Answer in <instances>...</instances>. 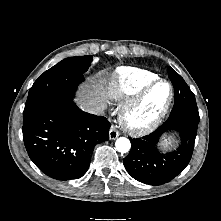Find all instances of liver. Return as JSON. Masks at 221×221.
Segmentation results:
<instances>
[{
  "instance_id": "obj_1",
  "label": "liver",
  "mask_w": 221,
  "mask_h": 221,
  "mask_svg": "<svg viewBox=\"0 0 221 221\" xmlns=\"http://www.w3.org/2000/svg\"><path fill=\"white\" fill-rule=\"evenodd\" d=\"M104 82L98 76L91 79V85L83 87L78 92V104L84 110L89 107L101 105L104 106Z\"/></svg>"
}]
</instances>
